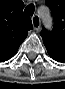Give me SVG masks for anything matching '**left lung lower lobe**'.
Returning a JSON list of instances; mask_svg holds the SVG:
<instances>
[{
    "label": "left lung lower lobe",
    "mask_w": 65,
    "mask_h": 89,
    "mask_svg": "<svg viewBox=\"0 0 65 89\" xmlns=\"http://www.w3.org/2000/svg\"><path fill=\"white\" fill-rule=\"evenodd\" d=\"M43 43L51 58L55 61L65 63V44L57 43L45 38H43Z\"/></svg>",
    "instance_id": "obj_1"
}]
</instances>
